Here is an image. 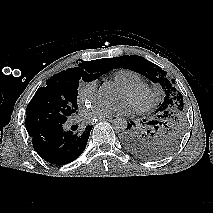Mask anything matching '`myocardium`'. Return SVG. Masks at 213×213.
Listing matches in <instances>:
<instances>
[{
  "mask_svg": "<svg viewBox=\"0 0 213 213\" xmlns=\"http://www.w3.org/2000/svg\"><path fill=\"white\" fill-rule=\"evenodd\" d=\"M122 90L126 91L130 95H134L138 92H144L146 95V101L142 104L139 103H131L132 108L138 113H145L152 110L157 102L156 93L154 88L144 82H140L137 84L124 86Z\"/></svg>",
  "mask_w": 213,
  "mask_h": 213,
  "instance_id": "obj_1",
  "label": "myocardium"
}]
</instances>
